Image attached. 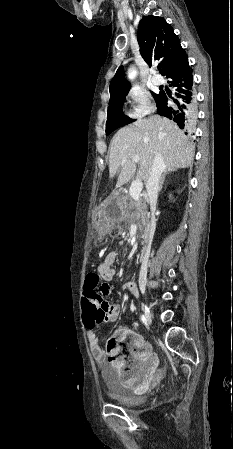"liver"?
Masks as SVG:
<instances>
[{"label":"liver","mask_w":233,"mask_h":449,"mask_svg":"<svg viewBox=\"0 0 233 449\" xmlns=\"http://www.w3.org/2000/svg\"><path fill=\"white\" fill-rule=\"evenodd\" d=\"M157 153H161L165 168L174 171L192 165L194 146L176 123L158 115L121 128L109 146V173L111 177L118 173L116 188L134 176L133 155L140 158L137 179L146 182Z\"/></svg>","instance_id":"obj_1"}]
</instances>
